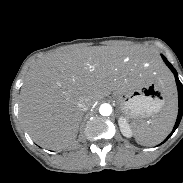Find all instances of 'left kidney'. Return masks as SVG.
Listing matches in <instances>:
<instances>
[{
    "instance_id": "1",
    "label": "left kidney",
    "mask_w": 183,
    "mask_h": 183,
    "mask_svg": "<svg viewBox=\"0 0 183 183\" xmlns=\"http://www.w3.org/2000/svg\"><path fill=\"white\" fill-rule=\"evenodd\" d=\"M118 124L120 127V131L123 134V136L130 138L132 136L131 128L127 122V120L124 117H120L118 119Z\"/></svg>"
}]
</instances>
